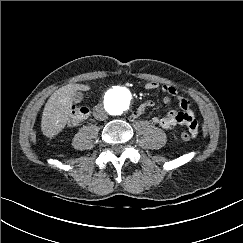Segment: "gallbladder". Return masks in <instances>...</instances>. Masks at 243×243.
<instances>
[{
  "mask_svg": "<svg viewBox=\"0 0 243 243\" xmlns=\"http://www.w3.org/2000/svg\"><path fill=\"white\" fill-rule=\"evenodd\" d=\"M81 100H82V93L76 92L75 95L73 96V101L79 103Z\"/></svg>",
  "mask_w": 243,
  "mask_h": 243,
  "instance_id": "gallbladder-1",
  "label": "gallbladder"
}]
</instances>
